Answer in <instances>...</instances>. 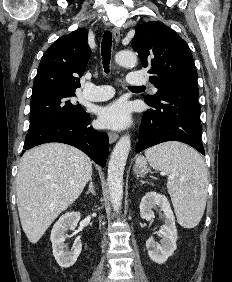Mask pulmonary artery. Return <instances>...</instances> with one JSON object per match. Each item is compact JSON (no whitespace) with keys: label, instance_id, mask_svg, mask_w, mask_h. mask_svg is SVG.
I'll return each instance as SVG.
<instances>
[{"label":"pulmonary artery","instance_id":"e3ab8cb5","mask_svg":"<svg viewBox=\"0 0 232 282\" xmlns=\"http://www.w3.org/2000/svg\"><path fill=\"white\" fill-rule=\"evenodd\" d=\"M127 82L131 86H140L148 83V79L140 72H131L127 77ZM153 90L156 88L153 86ZM114 91L109 85L87 84L84 90V97L90 101H105L110 99Z\"/></svg>","mask_w":232,"mask_h":282}]
</instances>
